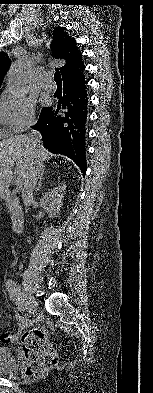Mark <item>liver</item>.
<instances>
[{
	"label": "liver",
	"instance_id": "obj_1",
	"mask_svg": "<svg viewBox=\"0 0 153 393\" xmlns=\"http://www.w3.org/2000/svg\"><path fill=\"white\" fill-rule=\"evenodd\" d=\"M50 156L46 149L40 145L35 149L30 148L26 135H18L0 141V194L9 186L14 175L18 176L22 186L24 179L34 166L35 160L43 164Z\"/></svg>",
	"mask_w": 153,
	"mask_h": 393
}]
</instances>
